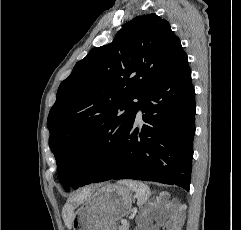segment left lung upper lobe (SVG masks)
Returning a JSON list of instances; mask_svg holds the SVG:
<instances>
[{"label":"left lung upper lobe","mask_w":241,"mask_h":230,"mask_svg":"<svg viewBox=\"0 0 241 230\" xmlns=\"http://www.w3.org/2000/svg\"><path fill=\"white\" fill-rule=\"evenodd\" d=\"M183 53L169 23L148 14L76 63L47 120L58 177L67 190L77 160L98 141L113 143L126 132L146 92Z\"/></svg>","instance_id":"obj_1"}]
</instances>
